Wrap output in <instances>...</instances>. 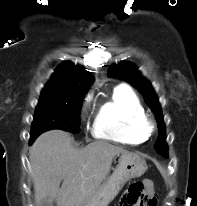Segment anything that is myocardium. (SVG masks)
<instances>
[{
  "instance_id": "myocardium-1",
  "label": "myocardium",
  "mask_w": 197,
  "mask_h": 206,
  "mask_svg": "<svg viewBox=\"0 0 197 206\" xmlns=\"http://www.w3.org/2000/svg\"><path fill=\"white\" fill-rule=\"evenodd\" d=\"M142 128L146 135L149 136L154 131L155 125L150 118L145 117V119L142 122Z\"/></svg>"
}]
</instances>
